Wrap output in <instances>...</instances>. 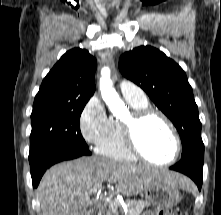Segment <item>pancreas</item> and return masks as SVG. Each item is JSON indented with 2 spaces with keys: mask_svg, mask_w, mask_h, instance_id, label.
Segmentation results:
<instances>
[{
  "mask_svg": "<svg viewBox=\"0 0 221 215\" xmlns=\"http://www.w3.org/2000/svg\"><path fill=\"white\" fill-rule=\"evenodd\" d=\"M149 205L150 204L148 202L143 201V200H129V201H126V206H127L126 215H140V213L144 210V208L149 206ZM113 208L109 207L106 210V215H116ZM115 208H118V207L115 206Z\"/></svg>",
  "mask_w": 221,
  "mask_h": 215,
  "instance_id": "1",
  "label": "pancreas"
}]
</instances>
